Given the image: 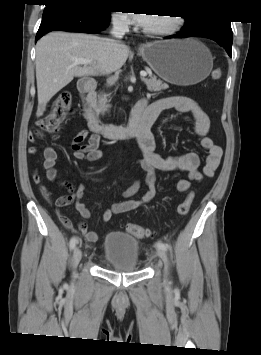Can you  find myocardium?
I'll return each mask as SVG.
<instances>
[{
	"label": "myocardium",
	"mask_w": 261,
	"mask_h": 355,
	"mask_svg": "<svg viewBox=\"0 0 261 355\" xmlns=\"http://www.w3.org/2000/svg\"><path fill=\"white\" fill-rule=\"evenodd\" d=\"M183 18L179 15L172 16V23L164 28L159 29H143V32L148 36L153 37H168L175 34L182 26Z\"/></svg>",
	"instance_id": "f54148a6"
}]
</instances>
